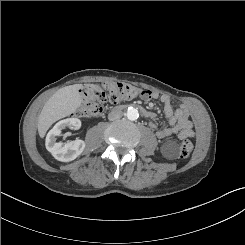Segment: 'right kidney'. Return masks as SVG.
<instances>
[{"instance_id": "ca27d5eb", "label": "right kidney", "mask_w": 245, "mask_h": 245, "mask_svg": "<svg viewBox=\"0 0 245 245\" xmlns=\"http://www.w3.org/2000/svg\"><path fill=\"white\" fill-rule=\"evenodd\" d=\"M66 127L78 130L81 127V121L78 118H67L59 121L48 132L46 136V149L52 156L61 162H70L76 159L85 149V142L77 139L67 143L56 142L63 129Z\"/></svg>"}]
</instances>
